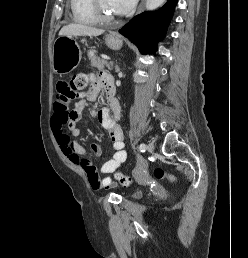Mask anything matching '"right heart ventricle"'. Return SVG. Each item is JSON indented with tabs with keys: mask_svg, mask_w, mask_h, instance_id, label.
I'll list each match as a JSON object with an SVG mask.
<instances>
[{
	"mask_svg": "<svg viewBox=\"0 0 248 258\" xmlns=\"http://www.w3.org/2000/svg\"><path fill=\"white\" fill-rule=\"evenodd\" d=\"M72 18L80 24L92 25L97 22L91 7V0H70Z\"/></svg>",
	"mask_w": 248,
	"mask_h": 258,
	"instance_id": "e07e8e85",
	"label": "right heart ventricle"
}]
</instances>
